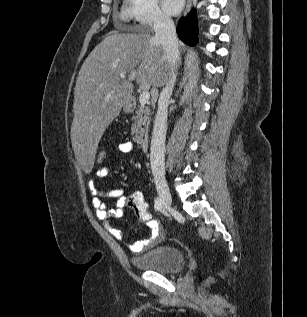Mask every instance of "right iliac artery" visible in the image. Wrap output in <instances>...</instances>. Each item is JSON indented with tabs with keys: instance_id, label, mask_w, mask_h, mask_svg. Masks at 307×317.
<instances>
[{
	"instance_id": "obj_1",
	"label": "right iliac artery",
	"mask_w": 307,
	"mask_h": 317,
	"mask_svg": "<svg viewBox=\"0 0 307 317\" xmlns=\"http://www.w3.org/2000/svg\"><path fill=\"white\" fill-rule=\"evenodd\" d=\"M154 208L156 211H160L162 209V203L158 197H156L154 200Z\"/></svg>"
}]
</instances>
